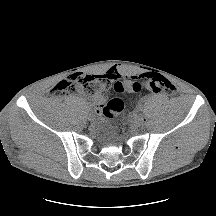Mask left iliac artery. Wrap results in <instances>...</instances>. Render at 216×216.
Masks as SVG:
<instances>
[{
  "label": "left iliac artery",
  "instance_id": "44dca946",
  "mask_svg": "<svg viewBox=\"0 0 216 216\" xmlns=\"http://www.w3.org/2000/svg\"><path fill=\"white\" fill-rule=\"evenodd\" d=\"M137 110H142V105H138Z\"/></svg>",
  "mask_w": 216,
  "mask_h": 216
}]
</instances>
